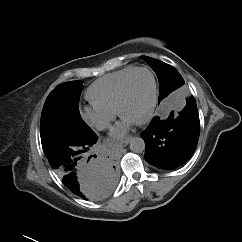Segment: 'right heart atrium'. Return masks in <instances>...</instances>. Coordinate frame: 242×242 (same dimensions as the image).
Here are the masks:
<instances>
[{"label": "right heart atrium", "instance_id": "right-heart-atrium-1", "mask_svg": "<svg viewBox=\"0 0 242 242\" xmlns=\"http://www.w3.org/2000/svg\"><path fill=\"white\" fill-rule=\"evenodd\" d=\"M79 114L85 123L100 131L107 129L115 118V110L93 103L81 107Z\"/></svg>", "mask_w": 242, "mask_h": 242}]
</instances>
